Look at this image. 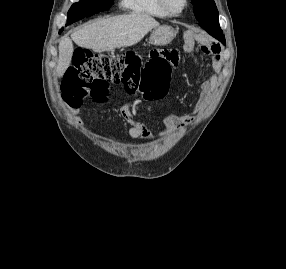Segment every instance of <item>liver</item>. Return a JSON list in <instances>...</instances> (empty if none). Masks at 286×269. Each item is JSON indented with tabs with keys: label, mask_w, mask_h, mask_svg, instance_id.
<instances>
[{
	"label": "liver",
	"mask_w": 286,
	"mask_h": 269,
	"mask_svg": "<svg viewBox=\"0 0 286 269\" xmlns=\"http://www.w3.org/2000/svg\"><path fill=\"white\" fill-rule=\"evenodd\" d=\"M158 26L159 23L153 17L141 13L93 21L72 33L71 39L65 37L60 41L57 75L62 77L70 66L74 52L72 41L78 46L102 52L132 46Z\"/></svg>",
	"instance_id": "liver-1"
}]
</instances>
